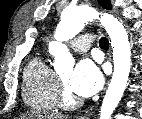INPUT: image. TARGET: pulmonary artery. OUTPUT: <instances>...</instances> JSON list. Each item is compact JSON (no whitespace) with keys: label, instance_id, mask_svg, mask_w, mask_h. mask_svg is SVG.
<instances>
[{"label":"pulmonary artery","instance_id":"obj_1","mask_svg":"<svg viewBox=\"0 0 142 119\" xmlns=\"http://www.w3.org/2000/svg\"><path fill=\"white\" fill-rule=\"evenodd\" d=\"M93 39L91 36L83 35L75 38L71 43V48L79 53L86 52L92 45Z\"/></svg>","mask_w":142,"mask_h":119}]
</instances>
